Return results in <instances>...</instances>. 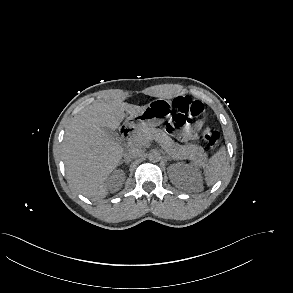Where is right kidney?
Listing matches in <instances>:
<instances>
[{"label":"right kidney","instance_id":"right-kidney-1","mask_svg":"<svg viewBox=\"0 0 293 293\" xmlns=\"http://www.w3.org/2000/svg\"><path fill=\"white\" fill-rule=\"evenodd\" d=\"M125 178L124 173L122 170H116L114 174L110 177L111 180L119 179L123 181Z\"/></svg>","mask_w":293,"mask_h":293}]
</instances>
